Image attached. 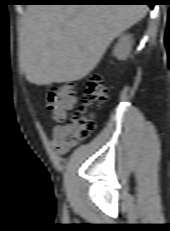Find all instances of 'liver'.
Instances as JSON below:
<instances>
[{
	"label": "liver",
	"instance_id": "obj_1",
	"mask_svg": "<svg viewBox=\"0 0 170 231\" xmlns=\"http://www.w3.org/2000/svg\"><path fill=\"white\" fill-rule=\"evenodd\" d=\"M147 11L146 5H31L19 32L20 67L36 85L80 80Z\"/></svg>",
	"mask_w": 170,
	"mask_h": 231
}]
</instances>
